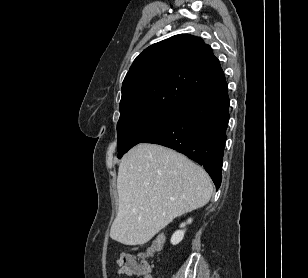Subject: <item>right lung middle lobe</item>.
<instances>
[{
	"instance_id": "right-lung-middle-lobe-1",
	"label": "right lung middle lobe",
	"mask_w": 308,
	"mask_h": 278,
	"mask_svg": "<svg viewBox=\"0 0 308 278\" xmlns=\"http://www.w3.org/2000/svg\"><path fill=\"white\" fill-rule=\"evenodd\" d=\"M177 113L178 109H150L119 120L117 124L118 158L167 125Z\"/></svg>"
}]
</instances>
